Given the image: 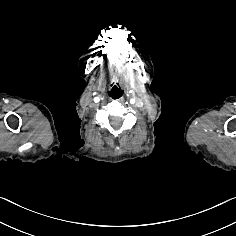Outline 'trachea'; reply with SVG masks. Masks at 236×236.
<instances>
[{"mask_svg":"<svg viewBox=\"0 0 236 236\" xmlns=\"http://www.w3.org/2000/svg\"><path fill=\"white\" fill-rule=\"evenodd\" d=\"M123 95V89L119 85H114L109 91V96L112 99L120 98Z\"/></svg>","mask_w":236,"mask_h":236,"instance_id":"trachea-1","label":"trachea"}]
</instances>
